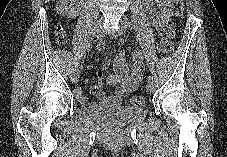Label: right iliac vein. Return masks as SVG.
<instances>
[{
    "mask_svg": "<svg viewBox=\"0 0 227 157\" xmlns=\"http://www.w3.org/2000/svg\"><path fill=\"white\" fill-rule=\"evenodd\" d=\"M93 35H99V29L98 28H95V29H93ZM72 81L74 82V83H77L78 82V80H79V72H78V70H74L73 72H72Z\"/></svg>",
    "mask_w": 227,
    "mask_h": 157,
    "instance_id": "obj_1",
    "label": "right iliac vein"
}]
</instances>
